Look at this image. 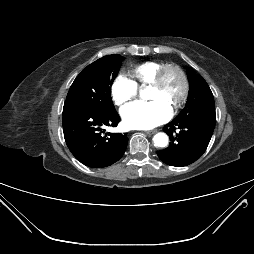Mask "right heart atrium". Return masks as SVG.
<instances>
[{
  "instance_id": "right-heart-atrium-1",
  "label": "right heart atrium",
  "mask_w": 254,
  "mask_h": 254,
  "mask_svg": "<svg viewBox=\"0 0 254 254\" xmlns=\"http://www.w3.org/2000/svg\"><path fill=\"white\" fill-rule=\"evenodd\" d=\"M138 89L134 82L126 75H118L111 84L113 102L122 106L137 95Z\"/></svg>"
}]
</instances>
